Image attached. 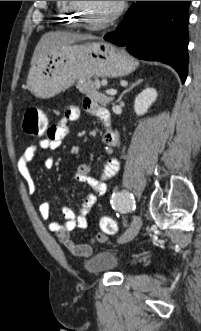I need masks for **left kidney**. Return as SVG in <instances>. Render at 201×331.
Returning <instances> with one entry per match:
<instances>
[{"label":"left kidney","mask_w":201,"mask_h":331,"mask_svg":"<svg viewBox=\"0 0 201 331\" xmlns=\"http://www.w3.org/2000/svg\"><path fill=\"white\" fill-rule=\"evenodd\" d=\"M157 91L154 88H146L135 99L134 110L138 116L147 113L149 107L155 102Z\"/></svg>","instance_id":"5707ae66"}]
</instances>
